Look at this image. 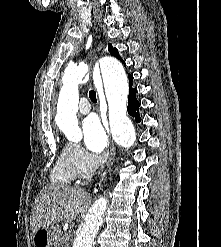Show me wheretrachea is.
Listing matches in <instances>:
<instances>
[{"instance_id":"obj_1","label":"trachea","mask_w":221,"mask_h":247,"mask_svg":"<svg viewBox=\"0 0 221 247\" xmlns=\"http://www.w3.org/2000/svg\"><path fill=\"white\" fill-rule=\"evenodd\" d=\"M89 97L92 102H97L96 92L94 90L89 91Z\"/></svg>"}]
</instances>
